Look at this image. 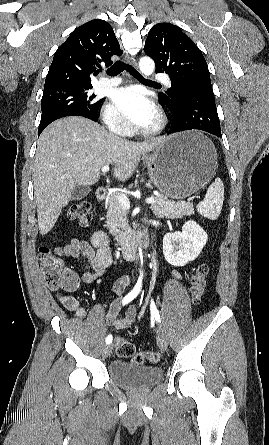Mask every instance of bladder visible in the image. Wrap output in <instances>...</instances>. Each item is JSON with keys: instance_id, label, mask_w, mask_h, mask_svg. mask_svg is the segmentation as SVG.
Returning a JSON list of instances; mask_svg holds the SVG:
<instances>
[{"instance_id": "obj_1", "label": "bladder", "mask_w": 269, "mask_h": 445, "mask_svg": "<svg viewBox=\"0 0 269 445\" xmlns=\"http://www.w3.org/2000/svg\"><path fill=\"white\" fill-rule=\"evenodd\" d=\"M111 380L128 390H145L157 384L162 378V369L158 366H138L122 360L109 364Z\"/></svg>"}]
</instances>
